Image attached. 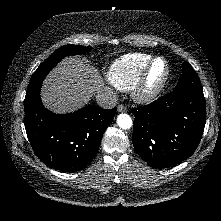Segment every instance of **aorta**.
I'll use <instances>...</instances> for the list:
<instances>
[{"instance_id":"aorta-1","label":"aorta","mask_w":221,"mask_h":221,"mask_svg":"<svg viewBox=\"0 0 221 221\" xmlns=\"http://www.w3.org/2000/svg\"><path fill=\"white\" fill-rule=\"evenodd\" d=\"M117 124L121 129H130L132 127V119L128 114H119L117 116Z\"/></svg>"}]
</instances>
